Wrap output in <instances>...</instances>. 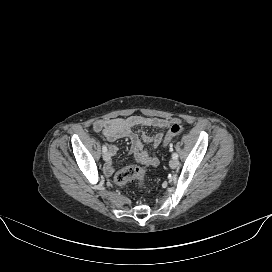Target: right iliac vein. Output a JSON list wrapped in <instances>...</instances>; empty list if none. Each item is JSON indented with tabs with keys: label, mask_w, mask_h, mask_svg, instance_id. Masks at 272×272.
<instances>
[{
	"label": "right iliac vein",
	"mask_w": 272,
	"mask_h": 272,
	"mask_svg": "<svg viewBox=\"0 0 272 272\" xmlns=\"http://www.w3.org/2000/svg\"><path fill=\"white\" fill-rule=\"evenodd\" d=\"M103 159H104L105 161H109V160H110V154H109V152H105V153L103 154Z\"/></svg>",
	"instance_id": "63e3f726"
}]
</instances>
